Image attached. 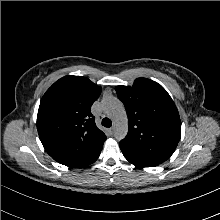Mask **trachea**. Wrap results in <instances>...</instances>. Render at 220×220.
Listing matches in <instances>:
<instances>
[{
  "label": "trachea",
  "instance_id": "obj_1",
  "mask_svg": "<svg viewBox=\"0 0 220 220\" xmlns=\"http://www.w3.org/2000/svg\"><path fill=\"white\" fill-rule=\"evenodd\" d=\"M102 125L104 127H111L112 126V121L109 118H103Z\"/></svg>",
  "mask_w": 220,
  "mask_h": 220
}]
</instances>
